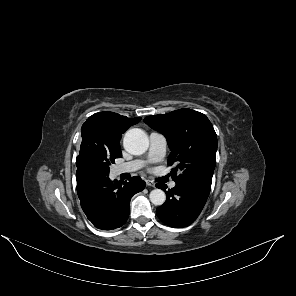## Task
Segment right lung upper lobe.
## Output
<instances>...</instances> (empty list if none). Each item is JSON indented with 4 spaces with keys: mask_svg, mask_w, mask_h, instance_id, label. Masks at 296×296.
Masks as SVG:
<instances>
[{
    "mask_svg": "<svg viewBox=\"0 0 296 296\" xmlns=\"http://www.w3.org/2000/svg\"><path fill=\"white\" fill-rule=\"evenodd\" d=\"M140 120L113 112L96 113L84 122L81 128L82 140L120 148L122 133Z\"/></svg>",
    "mask_w": 296,
    "mask_h": 296,
    "instance_id": "obj_1",
    "label": "right lung upper lobe"
}]
</instances>
